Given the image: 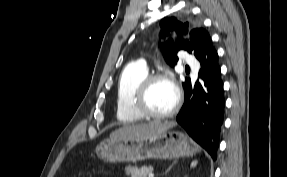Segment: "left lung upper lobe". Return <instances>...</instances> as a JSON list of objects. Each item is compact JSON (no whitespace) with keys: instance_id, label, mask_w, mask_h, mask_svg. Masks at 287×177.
Here are the masks:
<instances>
[{"instance_id":"obj_1","label":"left lung upper lobe","mask_w":287,"mask_h":177,"mask_svg":"<svg viewBox=\"0 0 287 177\" xmlns=\"http://www.w3.org/2000/svg\"><path fill=\"white\" fill-rule=\"evenodd\" d=\"M160 27L162 28L161 37L168 36L172 30L176 31L179 35L176 44L172 40L161 44L164 57L170 65L176 64L178 60L176 54L179 50L183 49L189 53L194 52L195 57L199 59L207 53L208 46L212 44L208 32L202 28L192 29L190 31V42L188 40L184 41L182 33L188 32L189 24L188 22L182 23L175 17L164 18L160 22Z\"/></svg>"}]
</instances>
